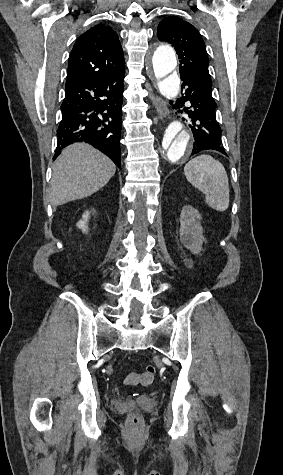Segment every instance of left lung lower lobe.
<instances>
[{
    "mask_svg": "<svg viewBox=\"0 0 283 475\" xmlns=\"http://www.w3.org/2000/svg\"><path fill=\"white\" fill-rule=\"evenodd\" d=\"M180 76L185 95L181 103L189 101L192 107V110L186 111L191 118L189 127L195 140L192 154L212 149L227 155L221 141L222 131L216 121L217 105L211 94V79L195 74H180Z\"/></svg>",
    "mask_w": 283,
    "mask_h": 475,
    "instance_id": "obj_1",
    "label": "left lung lower lobe"
}]
</instances>
